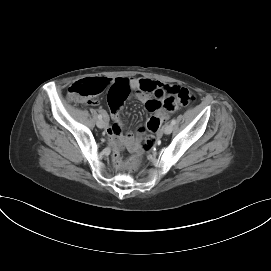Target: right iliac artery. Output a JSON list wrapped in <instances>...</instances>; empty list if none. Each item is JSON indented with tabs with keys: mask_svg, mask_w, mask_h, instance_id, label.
<instances>
[{
	"mask_svg": "<svg viewBox=\"0 0 271 271\" xmlns=\"http://www.w3.org/2000/svg\"><path fill=\"white\" fill-rule=\"evenodd\" d=\"M98 118H99V119H102V115H101V114H99V115H98Z\"/></svg>",
	"mask_w": 271,
	"mask_h": 271,
	"instance_id": "82829eb1",
	"label": "right iliac artery"
}]
</instances>
